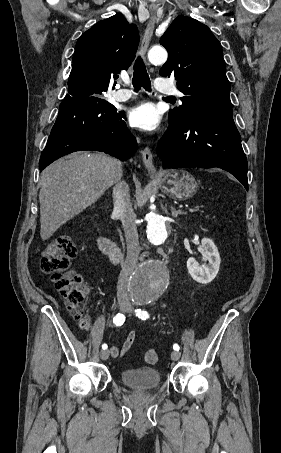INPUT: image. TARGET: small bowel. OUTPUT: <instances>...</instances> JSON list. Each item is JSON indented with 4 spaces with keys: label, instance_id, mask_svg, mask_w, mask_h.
I'll list each match as a JSON object with an SVG mask.
<instances>
[{
    "label": "small bowel",
    "instance_id": "small-bowel-1",
    "mask_svg": "<svg viewBox=\"0 0 281 453\" xmlns=\"http://www.w3.org/2000/svg\"><path fill=\"white\" fill-rule=\"evenodd\" d=\"M135 340V333L130 332L125 339L123 345L121 348L117 346H111L109 349V352L111 355L116 356V357H123L126 355V353L130 350L132 344L134 343Z\"/></svg>",
    "mask_w": 281,
    "mask_h": 453
}]
</instances>
